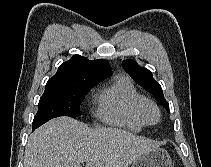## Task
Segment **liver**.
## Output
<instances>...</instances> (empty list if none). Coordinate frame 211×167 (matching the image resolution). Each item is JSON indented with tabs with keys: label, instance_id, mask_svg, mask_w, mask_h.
<instances>
[{
	"label": "liver",
	"instance_id": "1",
	"mask_svg": "<svg viewBox=\"0 0 211 167\" xmlns=\"http://www.w3.org/2000/svg\"><path fill=\"white\" fill-rule=\"evenodd\" d=\"M158 145L117 128L90 129L68 117L52 119L34 131L24 167H128Z\"/></svg>",
	"mask_w": 211,
	"mask_h": 167
}]
</instances>
